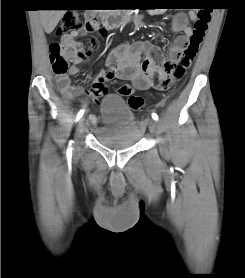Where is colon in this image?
I'll use <instances>...</instances> for the list:
<instances>
[{
	"label": "colon",
	"instance_id": "5ec220e1",
	"mask_svg": "<svg viewBox=\"0 0 245 278\" xmlns=\"http://www.w3.org/2000/svg\"><path fill=\"white\" fill-rule=\"evenodd\" d=\"M196 9V18L193 25V34L190 37V42L185 50L181 60L169 66V80H176L183 77L186 71L193 63L198 47L203 40L211 20V13L207 6L194 7ZM84 26L88 29H94L98 26L96 19H85L82 15L69 12L66 13L59 25L58 34H69L81 31ZM49 51L52 57V68L57 77H63L66 74L68 63L75 59H84L86 53L79 48L65 44L61 40L50 42ZM119 95L128 99V104L134 111L142 108L144 100L141 96L134 95L130 85H123L118 90Z\"/></svg>",
	"mask_w": 245,
	"mask_h": 278
}]
</instances>
